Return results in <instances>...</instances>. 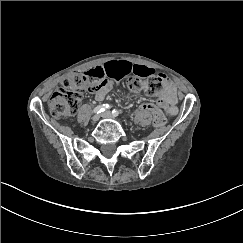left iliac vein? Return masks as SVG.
<instances>
[{"label":"left iliac vein","mask_w":243,"mask_h":243,"mask_svg":"<svg viewBox=\"0 0 243 243\" xmlns=\"http://www.w3.org/2000/svg\"><path fill=\"white\" fill-rule=\"evenodd\" d=\"M101 116L103 118H113V115L109 111H106V112L102 113Z\"/></svg>","instance_id":"1"}]
</instances>
